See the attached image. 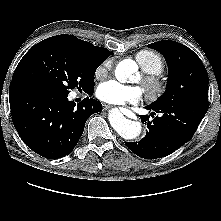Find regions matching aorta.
Instances as JSON below:
<instances>
[{"label":"aorta","mask_w":221,"mask_h":221,"mask_svg":"<svg viewBox=\"0 0 221 221\" xmlns=\"http://www.w3.org/2000/svg\"><path fill=\"white\" fill-rule=\"evenodd\" d=\"M137 71V64L133 60H124L117 66L115 76L124 83ZM109 122L113 129L124 139L132 140L140 136L141 123L125 118L118 109H113L109 114Z\"/></svg>","instance_id":"aorta-1"}]
</instances>
